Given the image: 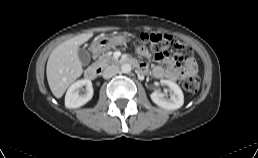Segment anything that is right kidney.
I'll use <instances>...</instances> for the list:
<instances>
[{"label": "right kidney", "instance_id": "1", "mask_svg": "<svg viewBox=\"0 0 258 158\" xmlns=\"http://www.w3.org/2000/svg\"><path fill=\"white\" fill-rule=\"evenodd\" d=\"M84 86V94H80V91ZM92 97V82L89 79L78 80L68 88L65 95V106L67 108H79L89 102Z\"/></svg>", "mask_w": 258, "mask_h": 158}]
</instances>
